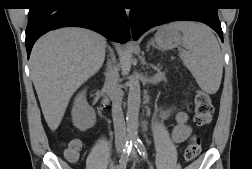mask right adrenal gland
I'll use <instances>...</instances> for the list:
<instances>
[{
	"label": "right adrenal gland",
	"instance_id": "1",
	"mask_svg": "<svg viewBox=\"0 0 252 169\" xmlns=\"http://www.w3.org/2000/svg\"><path fill=\"white\" fill-rule=\"evenodd\" d=\"M108 47V51H109V54H110V57H111V61L114 60V54H113V50L111 49L110 46H107ZM110 64V62L107 63V66Z\"/></svg>",
	"mask_w": 252,
	"mask_h": 169
}]
</instances>
